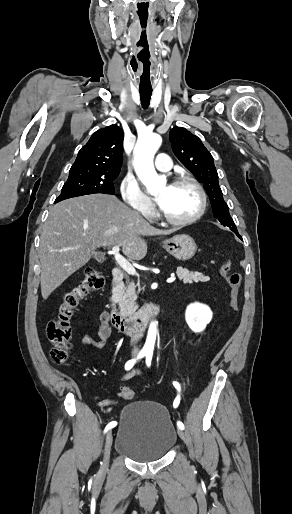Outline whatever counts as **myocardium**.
<instances>
[{
	"label": "myocardium",
	"mask_w": 292,
	"mask_h": 514,
	"mask_svg": "<svg viewBox=\"0 0 292 514\" xmlns=\"http://www.w3.org/2000/svg\"><path fill=\"white\" fill-rule=\"evenodd\" d=\"M184 185L190 186L196 191V193L198 195V207L191 216L184 218V219L171 218L163 211V209L161 207H159V213L161 215V218L165 222H167L171 225L184 226V225H187V224H190V223L196 221L203 214L205 207H206L205 192H204L202 186L196 180L189 178V177H180V178H177L176 180H174L172 182V184L170 185V187H177V186H184Z\"/></svg>",
	"instance_id": "obj_1"
}]
</instances>
